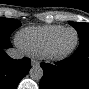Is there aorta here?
I'll list each match as a JSON object with an SVG mask.
<instances>
[{"mask_svg": "<svg viewBox=\"0 0 89 89\" xmlns=\"http://www.w3.org/2000/svg\"><path fill=\"white\" fill-rule=\"evenodd\" d=\"M29 75L31 79L38 81L43 77V69L38 65L33 66L29 71Z\"/></svg>", "mask_w": 89, "mask_h": 89, "instance_id": "762f6f07", "label": "aorta"}]
</instances>
